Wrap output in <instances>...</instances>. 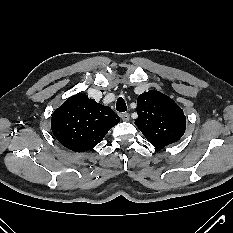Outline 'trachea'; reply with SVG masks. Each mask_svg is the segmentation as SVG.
<instances>
[{
  "instance_id": "1",
  "label": "trachea",
  "mask_w": 233,
  "mask_h": 233,
  "mask_svg": "<svg viewBox=\"0 0 233 233\" xmlns=\"http://www.w3.org/2000/svg\"><path fill=\"white\" fill-rule=\"evenodd\" d=\"M116 109L119 112H125L127 110L126 103H125V101H124V99L122 97H119L117 99Z\"/></svg>"
}]
</instances>
